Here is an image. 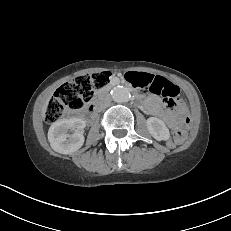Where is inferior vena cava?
Wrapping results in <instances>:
<instances>
[{
  "mask_svg": "<svg viewBox=\"0 0 231 231\" xmlns=\"http://www.w3.org/2000/svg\"><path fill=\"white\" fill-rule=\"evenodd\" d=\"M111 104V99L109 96H106L103 101L101 102V106L100 109H105L107 107H109Z\"/></svg>",
  "mask_w": 231,
  "mask_h": 231,
  "instance_id": "obj_1",
  "label": "inferior vena cava"
}]
</instances>
